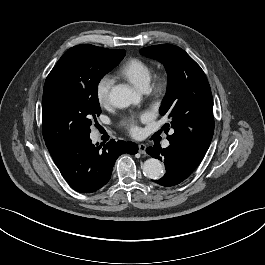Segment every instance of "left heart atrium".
Instances as JSON below:
<instances>
[{"mask_svg":"<svg viewBox=\"0 0 265 265\" xmlns=\"http://www.w3.org/2000/svg\"><path fill=\"white\" fill-rule=\"evenodd\" d=\"M141 121H146L148 119V116L146 114H142L141 116L138 117ZM138 118H134L133 121L131 122L130 126H129V132L133 135V136H138L140 134V128L137 124V119Z\"/></svg>","mask_w":265,"mask_h":265,"instance_id":"obj_1","label":"left heart atrium"}]
</instances>
